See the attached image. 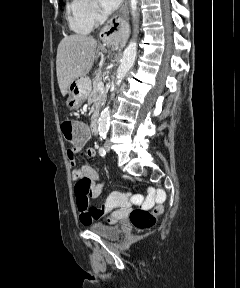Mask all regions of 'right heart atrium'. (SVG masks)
<instances>
[{
  "instance_id": "obj_1",
  "label": "right heart atrium",
  "mask_w": 240,
  "mask_h": 288,
  "mask_svg": "<svg viewBox=\"0 0 240 288\" xmlns=\"http://www.w3.org/2000/svg\"><path fill=\"white\" fill-rule=\"evenodd\" d=\"M86 18L92 23H99L103 19V14L96 0H81Z\"/></svg>"
}]
</instances>
